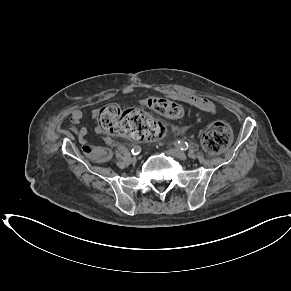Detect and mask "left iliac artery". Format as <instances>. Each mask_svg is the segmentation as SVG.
<instances>
[{
  "instance_id": "left-iliac-artery-1",
  "label": "left iliac artery",
  "mask_w": 291,
  "mask_h": 291,
  "mask_svg": "<svg viewBox=\"0 0 291 291\" xmlns=\"http://www.w3.org/2000/svg\"><path fill=\"white\" fill-rule=\"evenodd\" d=\"M176 147L180 148L181 150H187L189 145L185 141H177L175 142Z\"/></svg>"
}]
</instances>
